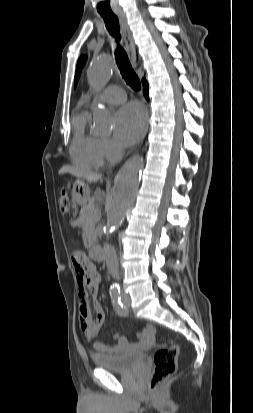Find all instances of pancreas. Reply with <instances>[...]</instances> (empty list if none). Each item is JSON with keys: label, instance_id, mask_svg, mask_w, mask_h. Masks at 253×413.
Listing matches in <instances>:
<instances>
[{"label": "pancreas", "instance_id": "pancreas-1", "mask_svg": "<svg viewBox=\"0 0 253 413\" xmlns=\"http://www.w3.org/2000/svg\"><path fill=\"white\" fill-rule=\"evenodd\" d=\"M101 211L95 205V199L90 198L84 205L79 219V226L82 228L84 245L91 247L97 241L96 223L100 220Z\"/></svg>", "mask_w": 253, "mask_h": 413}]
</instances>
